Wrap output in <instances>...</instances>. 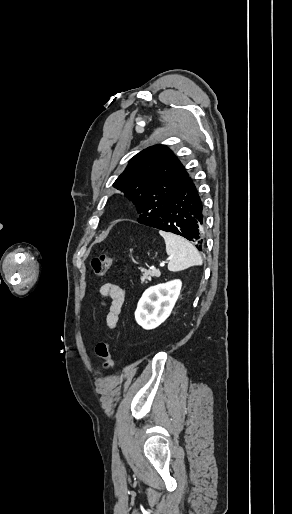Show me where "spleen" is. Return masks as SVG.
Listing matches in <instances>:
<instances>
[{
  "label": "spleen",
  "mask_w": 292,
  "mask_h": 514,
  "mask_svg": "<svg viewBox=\"0 0 292 514\" xmlns=\"http://www.w3.org/2000/svg\"><path fill=\"white\" fill-rule=\"evenodd\" d=\"M159 234L165 240L167 256L170 258L169 272H181L190 266H202L203 262L198 250L188 240L170 232H159Z\"/></svg>",
  "instance_id": "obj_1"
}]
</instances>
